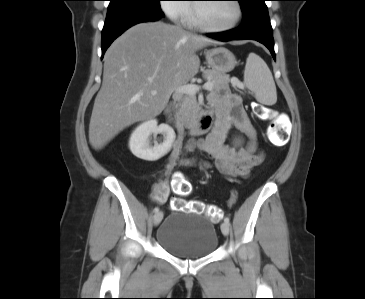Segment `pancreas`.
I'll use <instances>...</instances> for the list:
<instances>
[{
    "label": "pancreas",
    "instance_id": "cf45deb5",
    "mask_svg": "<svg viewBox=\"0 0 365 299\" xmlns=\"http://www.w3.org/2000/svg\"><path fill=\"white\" fill-rule=\"evenodd\" d=\"M203 77L213 83V89L215 90H227L229 89V76L217 72L215 70L207 69L203 72ZM199 115V105L195 95H188L184 98V103L180 110L177 112V120L183 124L189 125Z\"/></svg>",
    "mask_w": 365,
    "mask_h": 299
}]
</instances>
